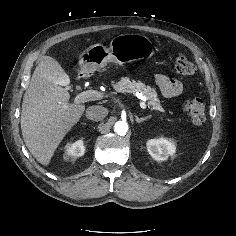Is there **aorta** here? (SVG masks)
I'll return each mask as SVG.
<instances>
[{
	"mask_svg": "<svg viewBox=\"0 0 236 236\" xmlns=\"http://www.w3.org/2000/svg\"><path fill=\"white\" fill-rule=\"evenodd\" d=\"M114 129L119 135H125L128 131V124L125 121H117Z\"/></svg>",
	"mask_w": 236,
	"mask_h": 236,
	"instance_id": "obj_1",
	"label": "aorta"
}]
</instances>
